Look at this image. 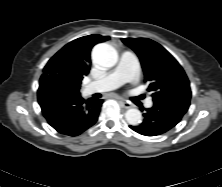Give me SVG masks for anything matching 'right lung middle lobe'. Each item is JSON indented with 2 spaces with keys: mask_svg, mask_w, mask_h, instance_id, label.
Returning <instances> with one entry per match:
<instances>
[{
  "mask_svg": "<svg viewBox=\"0 0 222 187\" xmlns=\"http://www.w3.org/2000/svg\"><path fill=\"white\" fill-rule=\"evenodd\" d=\"M60 80L64 83V85L70 89L71 91H74V92H79V89L78 87H75L74 85H72L70 82H68L67 80H65L64 78L60 77Z\"/></svg>",
  "mask_w": 222,
  "mask_h": 187,
  "instance_id": "dd1d6c3e",
  "label": "right lung middle lobe"
}]
</instances>
